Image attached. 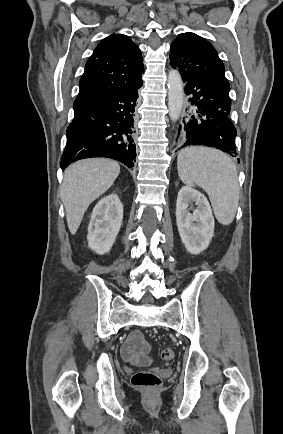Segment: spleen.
Wrapping results in <instances>:
<instances>
[{
	"label": "spleen",
	"mask_w": 283,
	"mask_h": 434,
	"mask_svg": "<svg viewBox=\"0 0 283 434\" xmlns=\"http://www.w3.org/2000/svg\"><path fill=\"white\" fill-rule=\"evenodd\" d=\"M178 175L183 183L203 188L216 219L229 225L239 201L238 174L234 161L226 154L206 147L183 149L177 158Z\"/></svg>",
	"instance_id": "1"
}]
</instances>
